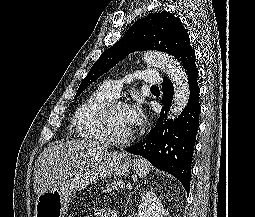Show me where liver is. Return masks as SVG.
<instances>
[{"mask_svg": "<svg viewBox=\"0 0 255 217\" xmlns=\"http://www.w3.org/2000/svg\"><path fill=\"white\" fill-rule=\"evenodd\" d=\"M107 154V145L86 140L48 146L35 162L34 193L40 195L61 186L73 175L100 163Z\"/></svg>", "mask_w": 255, "mask_h": 217, "instance_id": "obj_1", "label": "liver"}]
</instances>
